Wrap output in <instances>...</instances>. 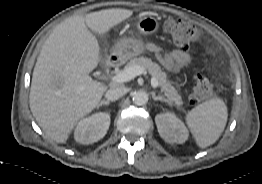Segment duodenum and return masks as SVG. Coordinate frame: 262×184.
Listing matches in <instances>:
<instances>
[{"label":"duodenum","instance_id":"duodenum-1","mask_svg":"<svg viewBox=\"0 0 262 184\" xmlns=\"http://www.w3.org/2000/svg\"><path fill=\"white\" fill-rule=\"evenodd\" d=\"M122 61L120 56H114L104 66V69L108 72L117 67Z\"/></svg>","mask_w":262,"mask_h":184}]
</instances>
